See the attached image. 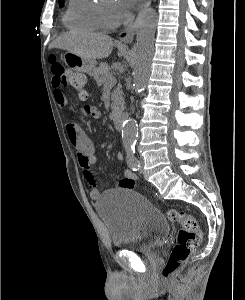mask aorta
<instances>
[{"instance_id": "aorta-1", "label": "aorta", "mask_w": 245, "mask_h": 300, "mask_svg": "<svg viewBox=\"0 0 245 300\" xmlns=\"http://www.w3.org/2000/svg\"><path fill=\"white\" fill-rule=\"evenodd\" d=\"M157 22V12L151 8L145 10L138 21L135 68L133 71V89L137 95L144 91L150 75ZM137 133L136 120L127 118L122 129V141L126 149H131L135 145Z\"/></svg>"}]
</instances>
